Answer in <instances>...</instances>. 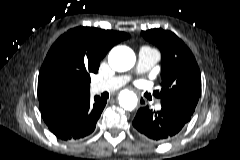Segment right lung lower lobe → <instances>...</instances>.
Listing matches in <instances>:
<instances>
[{
	"instance_id": "98d812e1",
	"label": "right lung lower lobe",
	"mask_w": 240,
	"mask_h": 160,
	"mask_svg": "<svg viewBox=\"0 0 240 160\" xmlns=\"http://www.w3.org/2000/svg\"><path fill=\"white\" fill-rule=\"evenodd\" d=\"M106 99L90 93L72 102L56 104L42 110V118L59 139L77 140L91 134L106 105Z\"/></svg>"
}]
</instances>
